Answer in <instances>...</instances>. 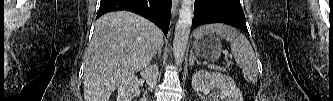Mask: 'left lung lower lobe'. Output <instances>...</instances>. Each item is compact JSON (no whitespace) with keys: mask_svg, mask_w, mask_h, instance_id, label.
I'll return each instance as SVG.
<instances>
[{"mask_svg":"<svg viewBox=\"0 0 333 101\" xmlns=\"http://www.w3.org/2000/svg\"><path fill=\"white\" fill-rule=\"evenodd\" d=\"M217 22L237 27L248 33L240 0H196L194 28Z\"/></svg>","mask_w":333,"mask_h":101,"instance_id":"0a47b994","label":"left lung lower lobe"}]
</instances>
